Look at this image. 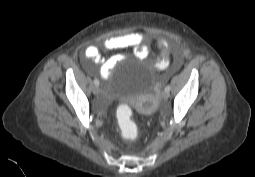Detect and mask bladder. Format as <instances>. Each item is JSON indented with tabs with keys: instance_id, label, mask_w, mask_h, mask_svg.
<instances>
[{
	"instance_id": "1",
	"label": "bladder",
	"mask_w": 255,
	"mask_h": 177,
	"mask_svg": "<svg viewBox=\"0 0 255 177\" xmlns=\"http://www.w3.org/2000/svg\"><path fill=\"white\" fill-rule=\"evenodd\" d=\"M134 66L136 68L134 74L121 78L120 72L130 67V64L123 63L117 73L106 78L105 90L109 97L128 102L145 114L148 108L146 102L141 101V97L150 92L155 68L144 59H137Z\"/></svg>"
}]
</instances>
